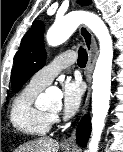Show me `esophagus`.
Here are the masks:
<instances>
[{
    "label": "esophagus",
    "instance_id": "1",
    "mask_svg": "<svg viewBox=\"0 0 123 152\" xmlns=\"http://www.w3.org/2000/svg\"><path fill=\"white\" fill-rule=\"evenodd\" d=\"M79 33L84 41V44L88 53V61H87L86 70H85V77L88 83V88H87L85 103H84V108H83V114H85L88 107L89 98H90V91H91L90 84L92 80V73H93L94 66L98 57V47H97V43L94 36L92 35V33L89 31V29L86 26L81 25L79 27ZM75 139H76V131L74 130L70 134V136L63 141V146L74 147Z\"/></svg>",
    "mask_w": 123,
    "mask_h": 152
}]
</instances>
